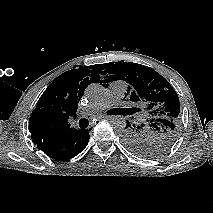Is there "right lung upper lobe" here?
I'll list each match as a JSON object with an SVG mask.
<instances>
[{"instance_id":"cb5924a9","label":"right lung upper lobe","mask_w":213,"mask_h":213,"mask_svg":"<svg viewBox=\"0 0 213 213\" xmlns=\"http://www.w3.org/2000/svg\"><path fill=\"white\" fill-rule=\"evenodd\" d=\"M90 69L64 72L41 95L29 119V131L34 144H55L78 131L70 127L68 119L76 118L78 103L86 87L100 79L95 67Z\"/></svg>"}]
</instances>
